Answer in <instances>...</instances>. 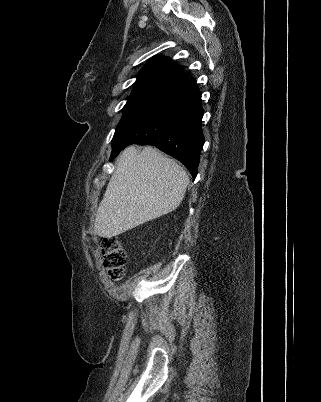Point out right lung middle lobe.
I'll use <instances>...</instances> for the list:
<instances>
[{
  "label": "right lung middle lobe",
  "mask_w": 321,
  "mask_h": 402,
  "mask_svg": "<svg viewBox=\"0 0 321 402\" xmlns=\"http://www.w3.org/2000/svg\"><path fill=\"white\" fill-rule=\"evenodd\" d=\"M173 87L163 84H148L134 88L127 103L123 107V116L120 120L114 137H117L150 109L165 99Z\"/></svg>",
  "instance_id": "obj_1"
}]
</instances>
